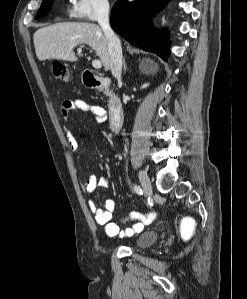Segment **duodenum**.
Instances as JSON below:
<instances>
[{
	"mask_svg": "<svg viewBox=\"0 0 247 299\" xmlns=\"http://www.w3.org/2000/svg\"><path fill=\"white\" fill-rule=\"evenodd\" d=\"M83 80L85 85L92 89L105 88L110 82L108 78L98 76L89 70L84 72ZM108 108L110 127L112 130H117L122 125L124 118L121 100L116 96L110 97Z\"/></svg>",
	"mask_w": 247,
	"mask_h": 299,
	"instance_id": "1",
	"label": "duodenum"
}]
</instances>
